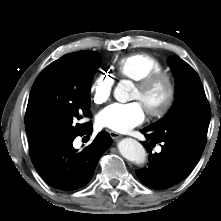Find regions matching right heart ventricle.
<instances>
[{
  "mask_svg": "<svg viewBox=\"0 0 221 221\" xmlns=\"http://www.w3.org/2000/svg\"><path fill=\"white\" fill-rule=\"evenodd\" d=\"M163 69V63L148 53H133L116 63L117 73L132 81H138L145 75Z\"/></svg>",
  "mask_w": 221,
  "mask_h": 221,
  "instance_id": "e07e8e85",
  "label": "right heart ventricle"
}]
</instances>
